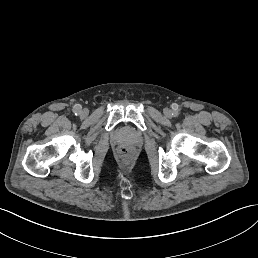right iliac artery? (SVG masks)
I'll return each mask as SVG.
<instances>
[{
  "label": "right iliac artery",
  "mask_w": 258,
  "mask_h": 258,
  "mask_svg": "<svg viewBox=\"0 0 258 258\" xmlns=\"http://www.w3.org/2000/svg\"><path fill=\"white\" fill-rule=\"evenodd\" d=\"M73 113L78 116L81 114V106L80 105H74L73 107Z\"/></svg>",
  "instance_id": "1"
}]
</instances>
